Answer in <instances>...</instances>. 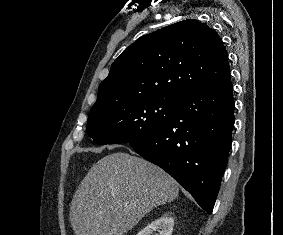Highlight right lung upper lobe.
<instances>
[{
    "instance_id": "right-lung-upper-lobe-1",
    "label": "right lung upper lobe",
    "mask_w": 283,
    "mask_h": 235,
    "mask_svg": "<svg viewBox=\"0 0 283 235\" xmlns=\"http://www.w3.org/2000/svg\"><path fill=\"white\" fill-rule=\"evenodd\" d=\"M229 77L222 40L206 24L188 19L144 35L125 49L100 84L94 106L132 97L177 100Z\"/></svg>"
}]
</instances>
